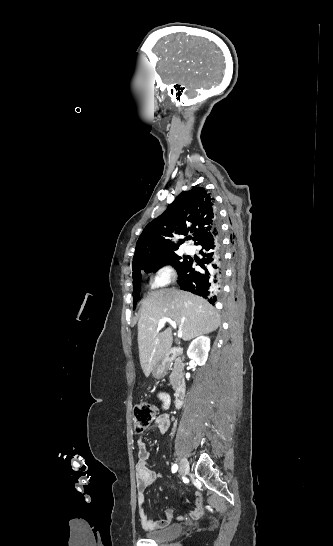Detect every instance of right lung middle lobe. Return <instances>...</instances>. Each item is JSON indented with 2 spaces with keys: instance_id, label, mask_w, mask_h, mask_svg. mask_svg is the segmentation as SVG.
Masks as SVG:
<instances>
[{
  "instance_id": "1",
  "label": "right lung middle lobe",
  "mask_w": 333,
  "mask_h": 546,
  "mask_svg": "<svg viewBox=\"0 0 333 546\" xmlns=\"http://www.w3.org/2000/svg\"><path fill=\"white\" fill-rule=\"evenodd\" d=\"M181 257H179L177 254L174 253V251H171V252H168L166 253L160 264L152 269H149V270H146L145 272L146 273H149V272H156L159 268H161L163 265H166V264H171L172 266H174V268L177 270V272L179 271V269L186 263L187 261V258L184 257V260L181 261ZM140 277H141V272L137 273L136 275L133 276V286H134V291H133V304H134V308H135V305L137 303V300L139 298V280H140Z\"/></svg>"
}]
</instances>
